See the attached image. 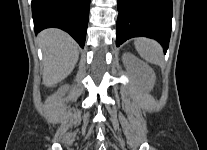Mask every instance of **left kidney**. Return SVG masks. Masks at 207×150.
Here are the masks:
<instances>
[{"mask_svg": "<svg viewBox=\"0 0 207 150\" xmlns=\"http://www.w3.org/2000/svg\"><path fill=\"white\" fill-rule=\"evenodd\" d=\"M123 59L127 67H129L130 65L136 66L138 64H141L134 56L130 54H124ZM140 72L144 78L146 89L150 91L153 88L154 83H155L156 76H155L154 71L148 65L141 64Z\"/></svg>", "mask_w": 207, "mask_h": 150, "instance_id": "5707ae66", "label": "left kidney"}]
</instances>
